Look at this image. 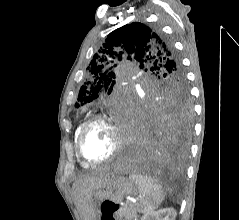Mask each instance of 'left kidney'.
<instances>
[{"label": "left kidney", "mask_w": 239, "mask_h": 220, "mask_svg": "<svg viewBox=\"0 0 239 220\" xmlns=\"http://www.w3.org/2000/svg\"><path fill=\"white\" fill-rule=\"evenodd\" d=\"M177 213L173 208L160 209L145 213L141 220H175Z\"/></svg>", "instance_id": "1"}]
</instances>
